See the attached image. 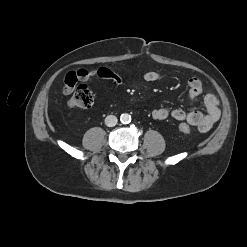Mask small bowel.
Wrapping results in <instances>:
<instances>
[{
	"instance_id": "c3829d8e",
	"label": "small bowel",
	"mask_w": 247,
	"mask_h": 247,
	"mask_svg": "<svg viewBox=\"0 0 247 247\" xmlns=\"http://www.w3.org/2000/svg\"><path fill=\"white\" fill-rule=\"evenodd\" d=\"M95 77L112 80L116 85L122 84V77L109 68L100 67L90 70L81 68L66 74L63 80V93L69 95L73 92L77 83L86 82ZM161 77V73L157 71H150L144 74V80L147 82L158 81ZM187 85L188 95L191 101L201 97L203 98L206 113L198 110L186 112L182 109L171 110L156 107L152 110V117L156 120L172 118L177 121H183L191 126L197 127L200 132L205 133L209 131L220 118L219 100L213 92H205L202 82L196 77H191L187 81Z\"/></svg>"
}]
</instances>
